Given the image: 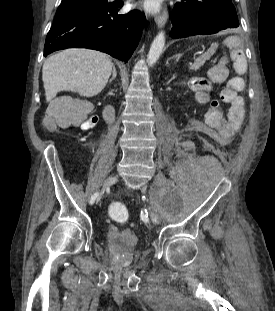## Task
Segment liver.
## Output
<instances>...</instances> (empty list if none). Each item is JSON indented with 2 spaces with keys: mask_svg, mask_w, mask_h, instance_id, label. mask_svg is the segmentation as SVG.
I'll list each match as a JSON object with an SVG mask.
<instances>
[{
  "mask_svg": "<svg viewBox=\"0 0 275 311\" xmlns=\"http://www.w3.org/2000/svg\"><path fill=\"white\" fill-rule=\"evenodd\" d=\"M112 64L105 53L90 49H66L51 55L42 69L46 101L50 102L60 91L85 97L99 94L108 82Z\"/></svg>",
  "mask_w": 275,
  "mask_h": 311,
  "instance_id": "obj_1",
  "label": "liver"
}]
</instances>
